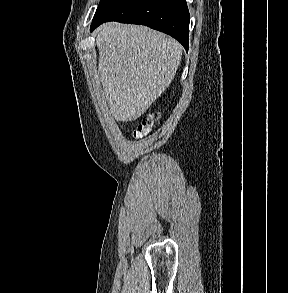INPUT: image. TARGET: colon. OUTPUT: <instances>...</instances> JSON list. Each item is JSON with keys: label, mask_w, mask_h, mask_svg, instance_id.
Instances as JSON below:
<instances>
[{"label": "colon", "mask_w": 288, "mask_h": 293, "mask_svg": "<svg viewBox=\"0 0 288 293\" xmlns=\"http://www.w3.org/2000/svg\"><path fill=\"white\" fill-rule=\"evenodd\" d=\"M158 117L156 114H148L144 116L139 122L136 129L133 131L135 138H140L151 131L153 126L156 124Z\"/></svg>", "instance_id": "1"}]
</instances>
